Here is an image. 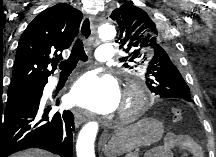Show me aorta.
I'll return each mask as SVG.
<instances>
[{
  "label": "aorta",
  "mask_w": 216,
  "mask_h": 157,
  "mask_svg": "<svg viewBox=\"0 0 216 157\" xmlns=\"http://www.w3.org/2000/svg\"><path fill=\"white\" fill-rule=\"evenodd\" d=\"M99 38L104 41L112 40L116 36V28L113 24H102L98 28ZM98 132L97 122H88L81 129L77 144L76 152L77 157H95L94 141Z\"/></svg>",
  "instance_id": "1"
}]
</instances>
